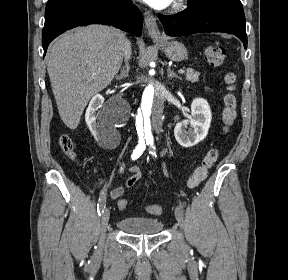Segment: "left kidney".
I'll return each mask as SVG.
<instances>
[{
	"label": "left kidney",
	"instance_id": "1",
	"mask_svg": "<svg viewBox=\"0 0 288 280\" xmlns=\"http://www.w3.org/2000/svg\"><path fill=\"white\" fill-rule=\"evenodd\" d=\"M191 117L176 124L174 136L177 142L186 148L203 141L209 131L212 114L208 102L196 98L191 104Z\"/></svg>",
	"mask_w": 288,
	"mask_h": 280
}]
</instances>
